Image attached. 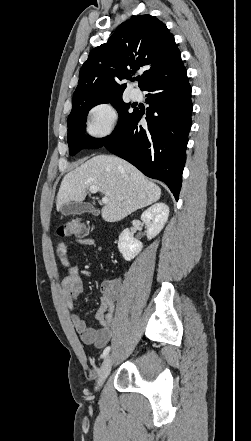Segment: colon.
<instances>
[{"mask_svg": "<svg viewBox=\"0 0 251 441\" xmlns=\"http://www.w3.org/2000/svg\"><path fill=\"white\" fill-rule=\"evenodd\" d=\"M87 234V227L81 218L74 217L58 227V235L61 237L83 238Z\"/></svg>", "mask_w": 251, "mask_h": 441, "instance_id": "5ec220e1", "label": "colon"}]
</instances>
